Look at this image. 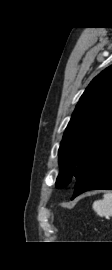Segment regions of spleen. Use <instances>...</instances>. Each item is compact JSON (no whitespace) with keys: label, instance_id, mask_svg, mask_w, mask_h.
Returning a JSON list of instances; mask_svg holds the SVG:
<instances>
[{"label":"spleen","instance_id":"1","mask_svg":"<svg viewBox=\"0 0 112 270\" xmlns=\"http://www.w3.org/2000/svg\"><path fill=\"white\" fill-rule=\"evenodd\" d=\"M93 210L99 216H112V193H106L103 199L95 201Z\"/></svg>","mask_w":112,"mask_h":270}]
</instances>
